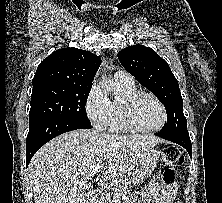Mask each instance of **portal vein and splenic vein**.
<instances>
[{
  "label": "portal vein and splenic vein",
  "instance_id": "18ae733b",
  "mask_svg": "<svg viewBox=\"0 0 222 203\" xmlns=\"http://www.w3.org/2000/svg\"><path fill=\"white\" fill-rule=\"evenodd\" d=\"M101 169H102V166L95 168L92 173L97 174Z\"/></svg>",
  "mask_w": 222,
  "mask_h": 203
}]
</instances>
